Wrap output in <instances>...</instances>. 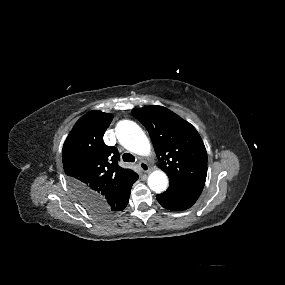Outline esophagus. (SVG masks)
<instances>
[{"instance_id": "obj_1", "label": "esophagus", "mask_w": 285, "mask_h": 285, "mask_svg": "<svg viewBox=\"0 0 285 285\" xmlns=\"http://www.w3.org/2000/svg\"><path fill=\"white\" fill-rule=\"evenodd\" d=\"M138 167H139L140 170H141L142 172H144V173H148V172L150 171L149 165H148L146 162H144V161H140V162L138 163Z\"/></svg>"}]
</instances>
